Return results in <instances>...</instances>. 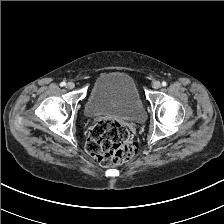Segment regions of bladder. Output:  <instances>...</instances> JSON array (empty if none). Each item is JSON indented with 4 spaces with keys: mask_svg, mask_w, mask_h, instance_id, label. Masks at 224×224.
<instances>
[{
    "mask_svg": "<svg viewBox=\"0 0 224 224\" xmlns=\"http://www.w3.org/2000/svg\"><path fill=\"white\" fill-rule=\"evenodd\" d=\"M84 110L90 117L118 113L137 123H143L146 119L134 80L119 71L106 72L97 77L85 99Z\"/></svg>",
    "mask_w": 224,
    "mask_h": 224,
    "instance_id": "31cf9c89",
    "label": "bladder"
}]
</instances>
